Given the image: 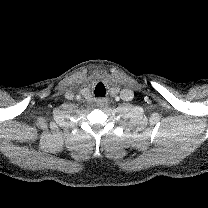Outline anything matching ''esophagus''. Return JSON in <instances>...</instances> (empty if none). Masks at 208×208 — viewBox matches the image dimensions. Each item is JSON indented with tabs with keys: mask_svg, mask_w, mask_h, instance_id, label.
Masks as SVG:
<instances>
[{
	"mask_svg": "<svg viewBox=\"0 0 208 208\" xmlns=\"http://www.w3.org/2000/svg\"><path fill=\"white\" fill-rule=\"evenodd\" d=\"M101 102H104L105 104H107V100H100Z\"/></svg>",
	"mask_w": 208,
	"mask_h": 208,
	"instance_id": "34e87169",
	"label": "esophagus"
}]
</instances>
